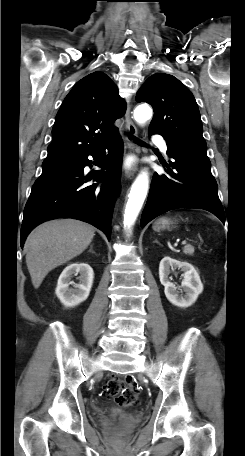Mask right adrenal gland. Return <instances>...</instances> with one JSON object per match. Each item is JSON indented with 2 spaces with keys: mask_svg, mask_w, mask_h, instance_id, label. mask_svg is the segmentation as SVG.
Returning <instances> with one entry per match:
<instances>
[{
  "mask_svg": "<svg viewBox=\"0 0 245 456\" xmlns=\"http://www.w3.org/2000/svg\"><path fill=\"white\" fill-rule=\"evenodd\" d=\"M89 251H90V252H92V253H94V252H93V249H92V246H91V248H90V250H89Z\"/></svg>",
  "mask_w": 245,
  "mask_h": 456,
  "instance_id": "1",
  "label": "right adrenal gland"
}]
</instances>
